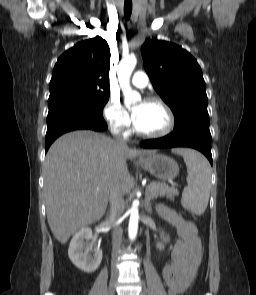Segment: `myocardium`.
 Masks as SVG:
<instances>
[{
    "instance_id": "1",
    "label": "myocardium",
    "mask_w": 256,
    "mask_h": 295,
    "mask_svg": "<svg viewBox=\"0 0 256 295\" xmlns=\"http://www.w3.org/2000/svg\"><path fill=\"white\" fill-rule=\"evenodd\" d=\"M145 102L149 104H156L163 109L167 118L166 125L161 131H158V132H143L139 130L134 124L133 126L134 132L141 137L151 138V139L162 138L167 136L173 130V127H174V115L172 110L162 99L157 97H149L146 99Z\"/></svg>"
}]
</instances>
